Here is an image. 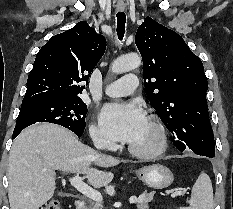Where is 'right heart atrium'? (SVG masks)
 <instances>
[{
  "label": "right heart atrium",
  "mask_w": 233,
  "mask_h": 209,
  "mask_svg": "<svg viewBox=\"0 0 233 209\" xmlns=\"http://www.w3.org/2000/svg\"><path fill=\"white\" fill-rule=\"evenodd\" d=\"M90 136L95 146L107 149H111L115 146V143L110 136L95 124L90 127Z\"/></svg>",
  "instance_id": "obj_1"
}]
</instances>
